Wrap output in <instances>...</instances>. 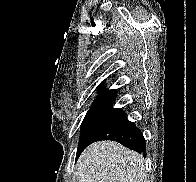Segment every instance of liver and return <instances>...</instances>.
Listing matches in <instances>:
<instances>
[{
	"label": "liver",
	"instance_id": "1",
	"mask_svg": "<svg viewBox=\"0 0 196 182\" xmlns=\"http://www.w3.org/2000/svg\"><path fill=\"white\" fill-rule=\"evenodd\" d=\"M77 182H146L141 155L115 141H100L81 154Z\"/></svg>",
	"mask_w": 196,
	"mask_h": 182
}]
</instances>
